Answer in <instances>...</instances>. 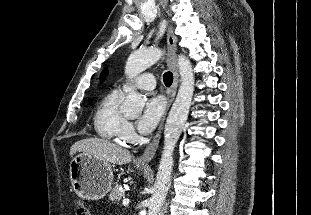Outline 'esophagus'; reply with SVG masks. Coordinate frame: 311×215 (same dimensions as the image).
I'll list each match as a JSON object with an SVG mask.
<instances>
[{"label":"esophagus","instance_id":"34e87169","mask_svg":"<svg viewBox=\"0 0 311 215\" xmlns=\"http://www.w3.org/2000/svg\"><path fill=\"white\" fill-rule=\"evenodd\" d=\"M176 42H177L176 36L174 35L172 28L169 27L167 30V47L169 52L168 65L173 72V83L169 95V106L171 105L172 101L175 98L179 83V73L176 63V50H177ZM162 129H163V121L160 123L152 142L145 148L143 154L136 159L137 165L147 166L149 162L153 159L159 146Z\"/></svg>","mask_w":311,"mask_h":215}]
</instances>
